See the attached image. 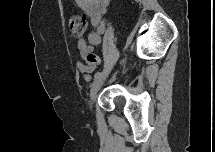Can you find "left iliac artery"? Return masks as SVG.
Masks as SVG:
<instances>
[{
  "mask_svg": "<svg viewBox=\"0 0 215 152\" xmlns=\"http://www.w3.org/2000/svg\"><path fill=\"white\" fill-rule=\"evenodd\" d=\"M101 75V72H96L94 75V79L96 80Z\"/></svg>",
  "mask_w": 215,
  "mask_h": 152,
  "instance_id": "1",
  "label": "left iliac artery"
}]
</instances>
